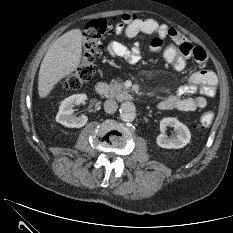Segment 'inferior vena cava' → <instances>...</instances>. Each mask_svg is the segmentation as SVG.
<instances>
[{
  "instance_id": "1",
  "label": "inferior vena cava",
  "mask_w": 233,
  "mask_h": 233,
  "mask_svg": "<svg viewBox=\"0 0 233 233\" xmlns=\"http://www.w3.org/2000/svg\"><path fill=\"white\" fill-rule=\"evenodd\" d=\"M104 109L107 113H114L118 109V104L113 99L106 100L104 102Z\"/></svg>"
}]
</instances>
